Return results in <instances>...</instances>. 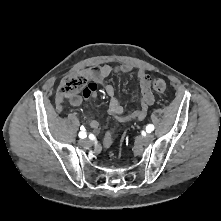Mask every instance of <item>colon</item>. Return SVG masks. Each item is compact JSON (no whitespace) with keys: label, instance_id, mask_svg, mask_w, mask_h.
I'll use <instances>...</instances> for the list:
<instances>
[{"label":"colon","instance_id":"colon-1","mask_svg":"<svg viewBox=\"0 0 221 221\" xmlns=\"http://www.w3.org/2000/svg\"><path fill=\"white\" fill-rule=\"evenodd\" d=\"M87 85V80L83 75H71L67 77L61 84L59 93L63 97L73 96L81 92ZM155 91L162 93L166 90L167 84L161 78H156L153 81Z\"/></svg>","mask_w":221,"mask_h":221}]
</instances>
